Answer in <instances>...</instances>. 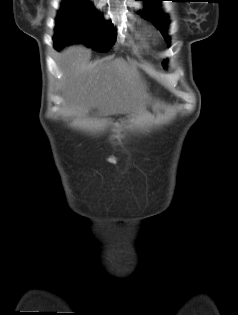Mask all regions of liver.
Wrapping results in <instances>:
<instances>
[{
  "label": "liver",
  "instance_id": "liver-1",
  "mask_svg": "<svg viewBox=\"0 0 238 315\" xmlns=\"http://www.w3.org/2000/svg\"><path fill=\"white\" fill-rule=\"evenodd\" d=\"M91 51L76 45L57 61L62 74L57 89L63 106L103 115L125 114L140 108L147 98L138 71L123 58L90 62Z\"/></svg>",
  "mask_w": 238,
  "mask_h": 315
}]
</instances>
